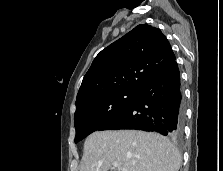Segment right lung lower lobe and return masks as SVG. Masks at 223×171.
Wrapping results in <instances>:
<instances>
[{"label": "right lung lower lobe", "mask_w": 223, "mask_h": 171, "mask_svg": "<svg viewBox=\"0 0 223 171\" xmlns=\"http://www.w3.org/2000/svg\"><path fill=\"white\" fill-rule=\"evenodd\" d=\"M184 103L177 63L138 91L134 100L101 130L138 129L178 139L183 133Z\"/></svg>", "instance_id": "1"}]
</instances>
